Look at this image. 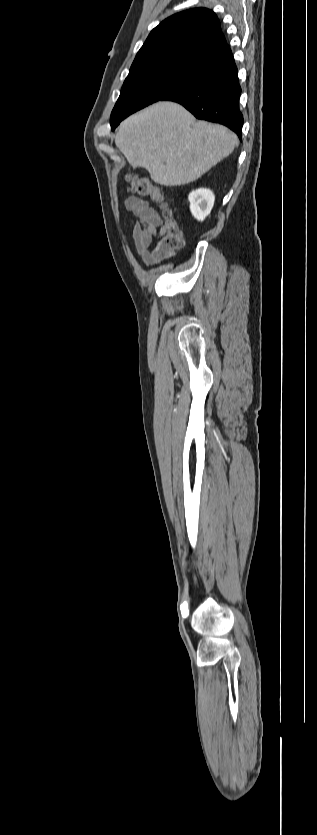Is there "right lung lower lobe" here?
I'll use <instances>...</instances> for the list:
<instances>
[{
	"mask_svg": "<svg viewBox=\"0 0 317 835\" xmlns=\"http://www.w3.org/2000/svg\"><path fill=\"white\" fill-rule=\"evenodd\" d=\"M206 78L180 89L164 100L183 105L196 118L227 126L241 139L243 116L239 111L241 87L229 46L190 57Z\"/></svg>",
	"mask_w": 317,
	"mask_h": 835,
	"instance_id": "1",
	"label": "right lung lower lobe"
}]
</instances>
